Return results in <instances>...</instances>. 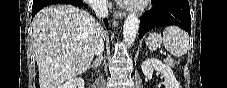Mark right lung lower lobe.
Masks as SVG:
<instances>
[{"label": "right lung lower lobe", "mask_w": 227, "mask_h": 88, "mask_svg": "<svg viewBox=\"0 0 227 88\" xmlns=\"http://www.w3.org/2000/svg\"><path fill=\"white\" fill-rule=\"evenodd\" d=\"M55 3H67V4H73L75 6H81L83 5L82 0H34L33 6H32V17L35 16V14L41 10L43 7L55 4ZM105 25H108V21L104 19Z\"/></svg>", "instance_id": "98d812e1"}]
</instances>
